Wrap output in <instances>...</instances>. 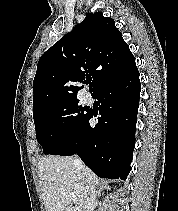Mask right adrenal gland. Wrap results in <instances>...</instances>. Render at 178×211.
<instances>
[{
    "label": "right adrenal gland",
    "instance_id": "1",
    "mask_svg": "<svg viewBox=\"0 0 178 211\" xmlns=\"http://www.w3.org/2000/svg\"><path fill=\"white\" fill-rule=\"evenodd\" d=\"M99 186H100V189L97 192V198H100L101 193H103L104 190L110 189V187L107 184H105V185L104 184H100Z\"/></svg>",
    "mask_w": 178,
    "mask_h": 211
}]
</instances>
